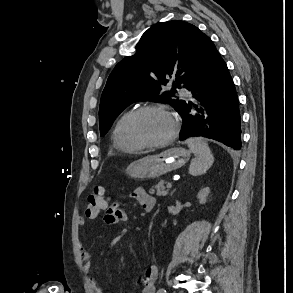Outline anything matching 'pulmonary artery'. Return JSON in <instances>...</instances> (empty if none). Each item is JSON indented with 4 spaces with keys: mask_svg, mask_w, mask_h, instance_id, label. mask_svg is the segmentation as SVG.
<instances>
[{
    "mask_svg": "<svg viewBox=\"0 0 293 293\" xmlns=\"http://www.w3.org/2000/svg\"><path fill=\"white\" fill-rule=\"evenodd\" d=\"M181 95L182 96H189L190 95V92L188 90H186V89H182L181 90Z\"/></svg>",
    "mask_w": 293,
    "mask_h": 293,
    "instance_id": "pulmonary-artery-1",
    "label": "pulmonary artery"
}]
</instances>
